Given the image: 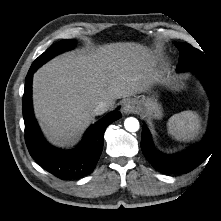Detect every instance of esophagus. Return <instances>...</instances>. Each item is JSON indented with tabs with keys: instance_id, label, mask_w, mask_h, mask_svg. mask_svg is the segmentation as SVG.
<instances>
[{
	"instance_id": "obj_1",
	"label": "esophagus",
	"mask_w": 221,
	"mask_h": 221,
	"mask_svg": "<svg viewBox=\"0 0 221 221\" xmlns=\"http://www.w3.org/2000/svg\"><path fill=\"white\" fill-rule=\"evenodd\" d=\"M137 110H138V105L135 100H133V99L127 100L124 103V106H123L124 113H126V114L135 113V112H137Z\"/></svg>"
}]
</instances>
